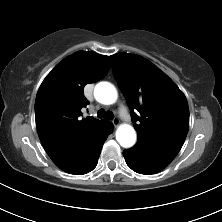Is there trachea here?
<instances>
[{
  "label": "trachea",
  "mask_w": 222,
  "mask_h": 222,
  "mask_svg": "<svg viewBox=\"0 0 222 222\" xmlns=\"http://www.w3.org/2000/svg\"><path fill=\"white\" fill-rule=\"evenodd\" d=\"M97 116L99 118H104L105 117L106 119H109V120L113 119V113L110 112V111L105 112L104 109H100L97 113Z\"/></svg>",
  "instance_id": "1"
}]
</instances>
